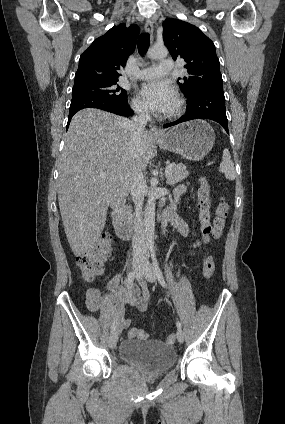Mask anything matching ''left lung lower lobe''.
Returning <instances> with one entry per match:
<instances>
[{"instance_id": "left-lung-lower-lobe-1", "label": "left lung lower lobe", "mask_w": 285, "mask_h": 424, "mask_svg": "<svg viewBox=\"0 0 285 424\" xmlns=\"http://www.w3.org/2000/svg\"><path fill=\"white\" fill-rule=\"evenodd\" d=\"M187 99L186 114L174 122L164 124V128L194 119H210L221 124L229 133L223 86H208L199 89Z\"/></svg>"}]
</instances>
